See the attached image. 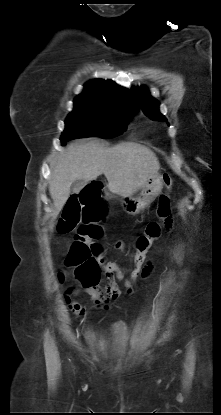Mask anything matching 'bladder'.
I'll use <instances>...</instances> for the list:
<instances>
[{
  "label": "bladder",
  "mask_w": 221,
  "mask_h": 415,
  "mask_svg": "<svg viewBox=\"0 0 221 415\" xmlns=\"http://www.w3.org/2000/svg\"><path fill=\"white\" fill-rule=\"evenodd\" d=\"M108 349L123 354L128 346V330L123 322L114 323L110 328V337L106 341Z\"/></svg>",
  "instance_id": "31cf9c89"
}]
</instances>
